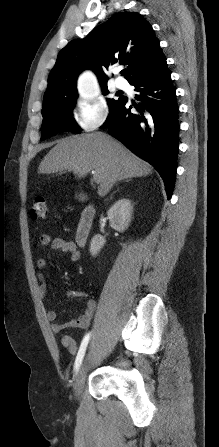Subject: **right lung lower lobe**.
I'll list each match as a JSON object with an SVG mask.
<instances>
[{
    "mask_svg": "<svg viewBox=\"0 0 219 447\" xmlns=\"http://www.w3.org/2000/svg\"><path fill=\"white\" fill-rule=\"evenodd\" d=\"M140 94L138 113H131L127 97L110 110L101 128L152 164L161 175L168 199L176 179L179 115L176 91L166 61L153 73L131 84Z\"/></svg>",
    "mask_w": 219,
    "mask_h": 447,
    "instance_id": "98d812e1",
    "label": "right lung lower lobe"
}]
</instances>
